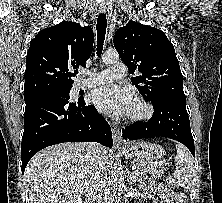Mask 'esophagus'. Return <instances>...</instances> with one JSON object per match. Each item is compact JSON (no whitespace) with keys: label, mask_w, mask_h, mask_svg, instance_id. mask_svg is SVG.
Instances as JSON below:
<instances>
[{"label":"esophagus","mask_w":222,"mask_h":203,"mask_svg":"<svg viewBox=\"0 0 222 203\" xmlns=\"http://www.w3.org/2000/svg\"><path fill=\"white\" fill-rule=\"evenodd\" d=\"M98 11L100 14H104L107 11V7L105 5H101L99 7ZM111 131H112L114 147L118 148V147L122 146L123 143H122L121 136H120V130L116 124H111Z\"/></svg>","instance_id":"1"}]
</instances>
